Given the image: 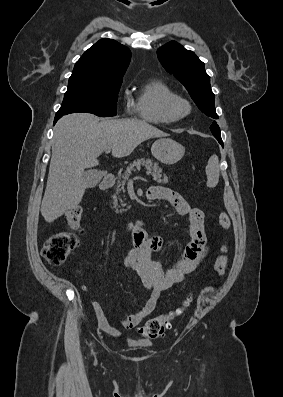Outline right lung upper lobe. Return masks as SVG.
<instances>
[{"instance_id": "cb5924a9", "label": "right lung upper lobe", "mask_w": 283, "mask_h": 397, "mask_svg": "<svg viewBox=\"0 0 283 397\" xmlns=\"http://www.w3.org/2000/svg\"><path fill=\"white\" fill-rule=\"evenodd\" d=\"M130 59L131 52L126 46L104 38L85 51L72 74L104 80L122 79Z\"/></svg>"}]
</instances>
